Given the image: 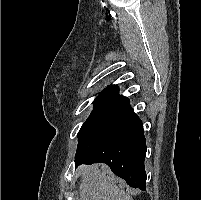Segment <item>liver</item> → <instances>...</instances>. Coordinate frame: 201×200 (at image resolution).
Listing matches in <instances>:
<instances>
[{
	"instance_id": "6515ba94",
	"label": "liver",
	"mask_w": 201,
	"mask_h": 200,
	"mask_svg": "<svg viewBox=\"0 0 201 200\" xmlns=\"http://www.w3.org/2000/svg\"><path fill=\"white\" fill-rule=\"evenodd\" d=\"M80 175V200H132L130 195L117 187L114 176L106 166H82Z\"/></svg>"
}]
</instances>
